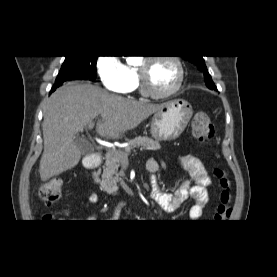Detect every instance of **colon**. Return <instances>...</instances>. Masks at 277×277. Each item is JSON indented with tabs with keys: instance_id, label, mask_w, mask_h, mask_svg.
<instances>
[{
	"instance_id": "5ec220e1",
	"label": "colon",
	"mask_w": 277,
	"mask_h": 277,
	"mask_svg": "<svg viewBox=\"0 0 277 277\" xmlns=\"http://www.w3.org/2000/svg\"><path fill=\"white\" fill-rule=\"evenodd\" d=\"M191 131L193 136L202 143H208L213 139L214 126L206 112L198 111L194 114L191 121ZM215 175L219 180L221 191L214 219L216 222H225L229 219L232 212L231 181L226 172L221 169H216ZM62 187L61 179H51L41 185L39 195L45 203L53 204L61 197ZM45 219L50 220L51 216L47 215Z\"/></svg>"
}]
</instances>
